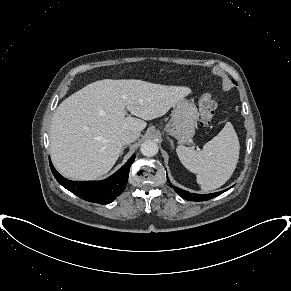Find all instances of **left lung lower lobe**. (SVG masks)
Instances as JSON below:
<instances>
[{
  "label": "left lung lower lobe",
  "instance_id": "0a47b994",
  "mask_svg": "<svg viewBox=\"0 0 291 291\" xmlns=\"http://www.w3.org/2000/svg\"><path fill=\"white\" fill-rule=\"evenodd\" d=\"M167 180L170 183L168 177H167ZM173 188H174L175 192L178 193L182 198L189 200V201H206V200L212 199V198L222 194V192H224V191H220V192H216V193H212V194H194V193H190L188 191H184V190L177 188V187H173Z\"/></svg>",
  "mask_w": 291,
  "mask_h": 291
}]
</instances>
